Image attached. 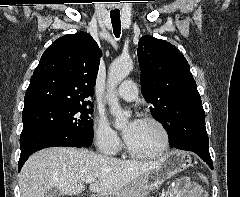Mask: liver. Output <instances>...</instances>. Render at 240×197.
<instances>
[{
  "label": "liver",
  "instance_id": "6515ba94",
  "mask_svg": "<svg viewBox=\"0 0 240 197\" xmlns=\"http://www.w3.org/2000/svg\"><path fill=\"white\" fill-rule=\"evenodd\" d=\"M163 158L142 162L120 160L84 148L53 147L34 153L23 165L19 186L21 197H44L51 189L76 195L85 190V181L95 179L89 190L110 195L156 168Z\"/></svg>",
  "mask_w": 240,
  "mask_h": 197
}]
</instances>
